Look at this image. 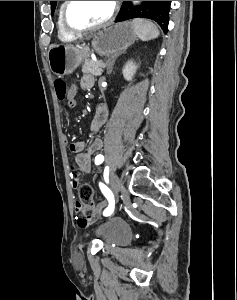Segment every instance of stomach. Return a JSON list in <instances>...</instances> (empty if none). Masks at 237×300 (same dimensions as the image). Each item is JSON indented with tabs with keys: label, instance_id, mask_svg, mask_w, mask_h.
<instances>
[{
	"label": "stomach",
	"instance_id": "stomach-1",
	"mask_svg": "<svg viewBox=\"0 0 237 300\" xmlns=\"http://www.w3.org/2000/svg\"><path fill=\"white\" fill-rule=\"evenodd\" d=\"M93 51L98 55H113L122 49L133 45L137 39L132 23H116L112 27L99 29L91 35ZM88 45L73 47V45H52L47 53L50 71L57 77L73 73L84 59L90 57Z\"/></svg>",
	"mask_w": 237,
	"mask_h": 300
}]
</instances>
